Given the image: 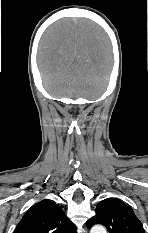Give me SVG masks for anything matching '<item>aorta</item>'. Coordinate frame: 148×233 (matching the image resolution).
I'll return each mask as SVG.
<instances>
[{
	"label": "aorta",
	"instance_id": "aorta-1",
	"mask_svg": "<svg viewBox=\"0 0 148 233\" xmlns=\"http://www.w3.org/2000/svg\"><path fill=\"white\" fill-rule=\"evenodd\" d=\"M90 233H107L105 227L102 225H95L92 227Z\"/></svg>",
	"mask_w": 148,
	"mask_h": 233
}]
</instances>
